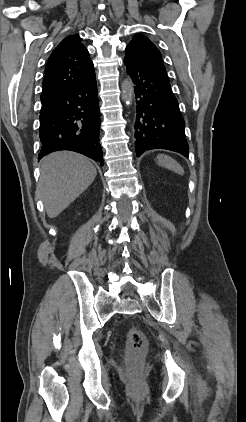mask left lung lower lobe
Wrapping results in <instances>:
<instances>
[{
    "mask_svg": "<svg viewBox=\"0 0 246 422\" xmlns=\"http://www.w3.org/2000/svg\"><path fill=\"white\" fill-rule=\"evenodd\" d=\"M124 64L135 84L137 157L151 149H167L188 157L185 122L170 82L132 52Z\"/></svg>",
    "mask_w": 246,
    "mask_h": 422,
    "instance_id": "left-lung-lower-lobe-1",
    "label": "left lung lower lobe"
}]
</instances>
